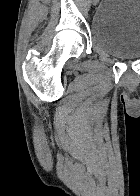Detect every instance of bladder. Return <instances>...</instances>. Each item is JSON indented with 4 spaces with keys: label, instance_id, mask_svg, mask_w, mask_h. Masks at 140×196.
Masks as SVG:
<instances>
[{
    "label": "bladder",
    "instance_id": "31cf9c89",
    "mask_svg": "<svg viewBox=\"0 0 140 196\" xmlns=\"http://www.w3.org/2000/svg\"><path fill=\"white\" fill-rule=\"evenodd\" d=\"M91 35L95 46L113 57L140 58V0H102Z\"/></svg>",
    "mask_w": 140,
    "mask_h": 196
}]
</instances>
